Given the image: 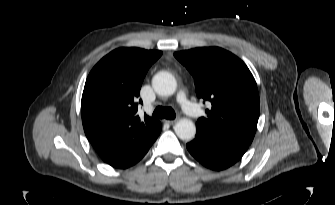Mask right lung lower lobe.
I'll list each match as a JSON object with an SVG mask.
<instances>
[{
	"label": "right lung lower lobe",
	"mask_w": 335,
	"mask_h": 205,
	"mask_svg": "<svg viewBox=\"0 0 335 205\" xmlns=\"http://www.w3.org/2000/svg\"><path fill=\"white\" fill-rule=\"evenodd\" d=\"M149 150V149H148ZM147 150V151H148ZM147 151H145L144 153H142L140 156L134 158V159H131L129 161H125V162H118V163H113V164H110L111 166L115 167V168H120V169H123V168H128L134 164H136L146 153Z\"/></svg>",
	"instance_id": "1"
}]
</instances>
